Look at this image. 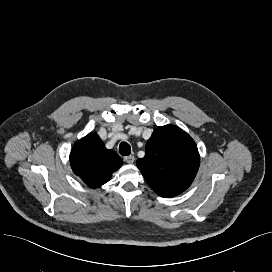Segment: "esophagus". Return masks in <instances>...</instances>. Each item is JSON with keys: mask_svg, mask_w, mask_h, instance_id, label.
<instances>
[{"mask_svg": "<svg viewBox=\"0 0 272 272\" xmlns=\"http://www.w3.org/2000/svg\"><path fill=\"white\" fill-rule=\"evenodd\" d=\"M124 160H125V162H127V163L131 164V163H133V162H134L135 157H134V156H132V155H130V156H126V157L124 158Z\"/></svg>", "mask_w": 272, "mask_h": 272, "instance_id": "esophagus-1", "label": "esophagus"}]
</instances>
